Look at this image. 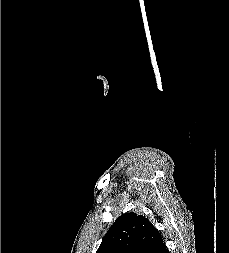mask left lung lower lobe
Returning <instances> with one entry per match:
<instances>
[{
    "instance_id": "0a47b994",
    "label": "left lung lower lobe",
    "mask_w": 229,
    "mask_h": 253,
    "mask_svg": "<svg viewBox=\"0 0 229 253\" xmlns=\"http://www.w3.org/2000/svg\"><path fill=\"white\" fill-rule=\"evenodd\" d=\"M155 253H169V251H168V249H167V247H166V245H165L164 242H162L158 246V248L156 249Z\"/></svg>"
}]
</instances>
